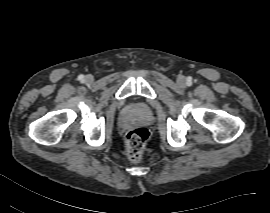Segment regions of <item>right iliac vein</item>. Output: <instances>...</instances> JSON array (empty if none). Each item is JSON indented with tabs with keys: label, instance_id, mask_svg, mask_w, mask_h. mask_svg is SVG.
<instances>
[{
	"label": "right iliac vein",
	"instance_id": "obj_1",
	"mask_svg": "<svg viewBox=\"0 0 270 213\" xmlns=\"http://www.w3.org/2000/svg\"><path fill=\"white\" fill-rule=\"evenodd\" d=\"M86 81L87 82H92L93 81V77L92 76H90V75H88L87 77H86Z\"/></svg>",
	"mask_w": 270,
	"mask_h": 213
}]
</instances>
